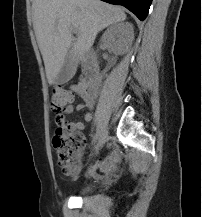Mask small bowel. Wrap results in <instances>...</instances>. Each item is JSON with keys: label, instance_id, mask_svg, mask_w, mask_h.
Returning <instances> with one entry per match:
<instances>
[{"label": "small bowel", "instance_id": "1", "mask_svg": "<svg viewBox=\"0 0 202 217\" xmlns=\"http://www.w3.org/2000/svg\"><path fill=\"white\" fill-rule=\"evenodd\" d=\"M71 90L82 98V102L77 104L75 109L78 111L85 109H92L94 106V101L96 97V93H89L86 90L85 83H80L78 85L72 86ZM74 110L73 106H70L66 109L65 114H70ZM84 120L89 122L92 120V114L90 112L84 115ZM71 126L75 129L83 130L84 123L83 122H71ZM122 161L121 152L118 149L113 150L108 156L103 159L98 160L95 164H93L89 169V174L92 177L98 176V171L110 175L115 172Z\"/></svg>", "mask_w": 202, "mask_h": 217}]
</instances>
